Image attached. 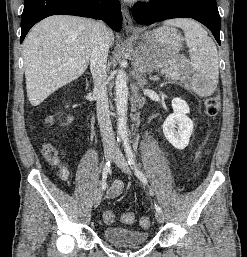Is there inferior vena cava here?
Wrapping results in <instances>:
<instances>
[{
  "label": "inferior vena cava",
  "instance_id": "602c4592",
  "mask_svg": "<svg viewBox=\"0 0 247 257\" xmlns=\"http://www.w3.org/2000/svg\"><path fill=\"white\" fill-rule=\"evenodd\" d=\"M109 51V32L102 21L96 22L91 36L90 70L94 82L97 118L104 147H115L116 141L110 120L107 88L106 63Z\"/></svg>",
  "mask_w": 247,
  "mask_h": 257
}]
</instances>
